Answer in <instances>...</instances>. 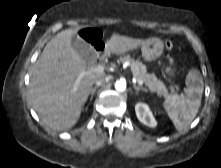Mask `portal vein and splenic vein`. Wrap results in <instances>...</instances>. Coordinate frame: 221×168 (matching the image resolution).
<instances>
[{"mask_svg": "<svg viewBox=\"0 0 221 168\" xmlns=\"http://www.w3.org/2000/svg\"><path fill=\"white\" fill-rule=\"evenodd\" d=\"M104 70H105V67H104V66H102V65H97V66H94V67H92L91 69H89V70H87V71L81 73L80 78H81L82 76H84L85 74H90V73H102V72H104ZM80 78H79V79H80ZM79 79H78V81H79ZM78 81H77V83H76V86H75V88H74V91L77 90ZM135 81H137V83H138L140 86L143 85V81H142V80L138 79V80H135Z\"/></svg>", "mask_w": 221, "mask_h": 168, "instance_id": "portal-vein-and-splenic-vein-1", "label": "portal vein and splenic vein"}]
</instances>
